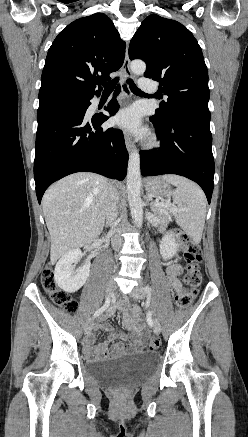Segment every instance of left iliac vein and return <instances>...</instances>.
Returning <instances> with one entry per match:
<instances>
[{"mask_svg":"<svg viewBox=\"0 0 248 437\" xmlns=\"http://www.w3.org/2000/svg\"><path fill=\"white\" fill-rule=\"evenodd\" d=\"M131 296L134 299H143L145 297V292H144V290H143V288L141 286H136L132 290ZM153 331L157 335L160 334V332H161V326H160V323L157 320L154 321Z\"/></svg>","mask_w":248,"mask_h":437,"instance_id":"obj_1","label":"left iliac vein"}]
</instances>
